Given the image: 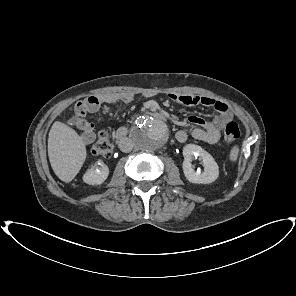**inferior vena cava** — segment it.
I'll return each instance as SVG.
<instances>
[{
	"mask_svg": "<svg viewBox=\"0 0 296 296\" xmlns=\"http://www.w3.org/2000/svg\"><path fill=\"white\" fill-rule=\"evenodd\" d=\"M119 147L123 152H129L132 150L133 148V144L130 141V139H123L120 143H119Z\"/></svg>",
	"mask_w": 296,
	"mask_h": 296,
	"instance_id": "1",
	"label": "inferior vena cava"
}]
</instances>
